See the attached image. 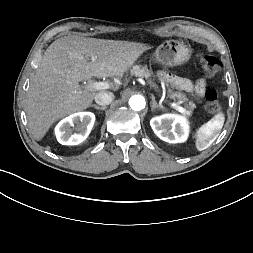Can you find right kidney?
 Here are the masks:
<instances>
[{"mask_svg":"<svg viewBox=\"0 0 253 253\" xmlns=\"http://www.w3.org/2000/svg\"><path fill=\"white\" fill-rule=\"evenodd\" d=\"M94 122L95 115L91 112L74 113L57 124L56 138L62 145H78L88 137Z\"/></svg>","mask_w":253,"mask_h":253,"instance_id":"ca27d5eb","label":"right kidney"}]
</instances>
